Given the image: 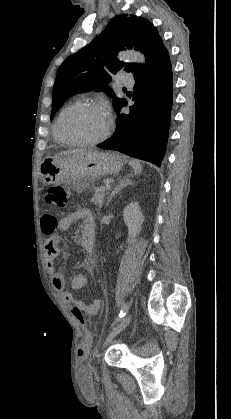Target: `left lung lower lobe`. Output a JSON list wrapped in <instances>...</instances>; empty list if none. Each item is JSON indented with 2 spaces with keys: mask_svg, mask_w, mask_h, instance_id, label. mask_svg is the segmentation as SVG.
I'll list each match as a JSON object with an SVG mask.
<instances>
[{
  "mask_svg": "<svg viewBox=\"0 0 231 419\" xmlns=\"http://www.w3.org/2000/svg\"><path fill=\"white\" fill-rule=\"evenodd\" d=\"M134 79L132 100L135 103L129 107L128 114H118L115 133L98 147L118 150L160 166L172 109L173 75L168 51ZM126 105L124 99L117 113Z\"/></svg>",
  "mask_w": 231,
  "mask_h": 419,
  "instance_id": "left-lung-lower-lobe-1",
  "label": "left lung lower lobe"
}]
</instances>
